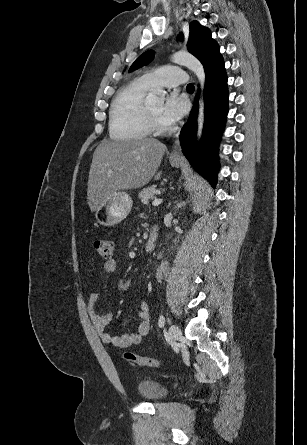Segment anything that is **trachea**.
I'll return each instance as SVG.
<instances>
[{"label": "trachea", "instance_id": "1", "mask_svg": "<svg viewBox=\"0 0 307 445\" xmlns=\"http://www.w3.org/2000/svg\"><path fill=\"white\" fill-rule=\"evenodd\" d=\"M187 89L194 90V85L192 83H188Z\"/></svg>", "mask_w": 307, "mask_h": 445}]
</instances>
